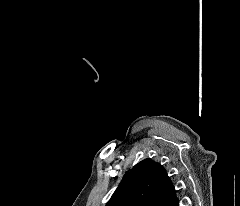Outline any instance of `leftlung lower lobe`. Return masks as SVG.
<instances>
[{
	"label": "left lung lower lobe",
	"mask_w": 240,
	"mask_h": 206,
	"mask_svg": "<svg viewBox=\"0 0 240 206\" xmlns=\"http://www.w3.org/2000/svg\"><path fill=\"white\" fill-rule=\"evenodd\" d=\"M172 206H180V205H179V200L176 199V201L172 204Z\"/></svg>",
	"instance_id": "1"
}]
</instances>
